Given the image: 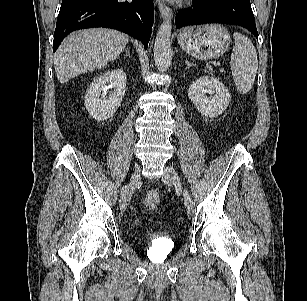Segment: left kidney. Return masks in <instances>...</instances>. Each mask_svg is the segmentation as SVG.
I'll return each instance as SVG.
<instances>
[{"instance_id": "5707ae66", "label": "left kidney", "mask_w": 307, "mask_h": 301, "mask_svg": "<svg viewBox=\"0 0 307 301\" xmlns=\"http://www.w3.org/2000/svg\"><path fill=\"white\" fill-rule=\"evenodd\" d=\"M188 97L203 116L210 118L221 115L231 101L225 85L211 76H202L193 81L188 89Z\"/></svg>"}]
</instances>
